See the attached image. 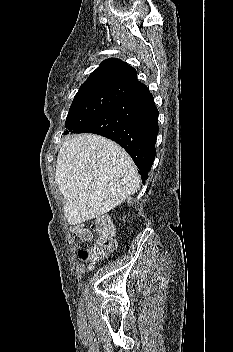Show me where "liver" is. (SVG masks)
Segmentation results:
<instances>
[{
    "mask_svg": "<svg viewBox=\"0 0 233 352\" xmlns=\"http://www.w3.org/2000/svg\"><path fill=\"white\" fill-rule=\"evenodd\" d=\"M55 181L72 225L108 213L139 189L137 168L115 142L94 134L69 137L60 148Z\"/></svg>",
    "mask_w": 233,
    "mask_h": 352,
    "instance_id": "6515ba94",
    "label": "liver"
}]
</instances>
